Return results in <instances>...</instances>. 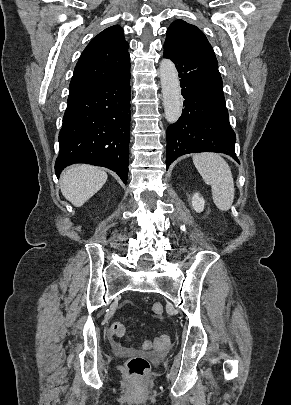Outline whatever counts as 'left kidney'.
Instances as JSON below:
<instances>
[{
    "label": "left kidney",
    "instance_id": "5707ae66",
    "mask_svg": "<svg viewBox=\"0 0 291 405\" xmlns=\"http://www.w3.org/2000/svg\"><path fill=\"white\" fill-rule=\"evenodd\" d=\"M205 200L203 197L199 195V193H195L192 198V206L193 209L200 213L204 210Z\"/></svg>",
    "mask_w": 291,
    "mask_h": 405
}]
</instances>
